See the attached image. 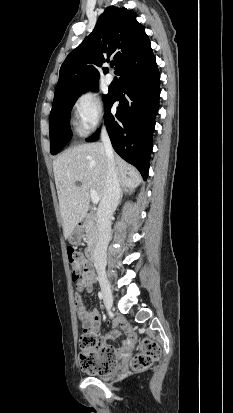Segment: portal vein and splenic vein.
<instances>
[{
  "label": "portal vein and splenic vein",
  "instance_id": "obj_1",
  "mask_svg": "<svg viewBox=\"0 0 233 413\" xmlns=\"http://www.w3.org/2000/svg\"><path fill=\"white\" fill-rule=\"evenodd\" d=\"M90 196L93 204H97L99 202L100 197L94 189H90Z\"/></svg>",
  "mask_w": 233,
  "mask_h": 413
}]
</instances>
